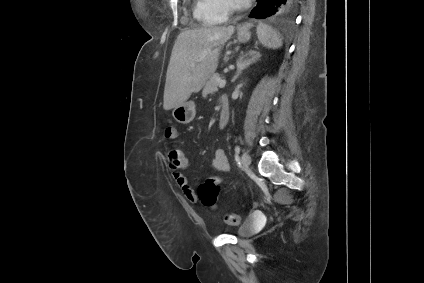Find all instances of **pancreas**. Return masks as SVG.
I'll return each instance as SVG.
<instances>
[{"label": "pancreas", "instance_id": "1", "mask_svg": "<svg viewBox=\"0 0 424 283\" xmlns=\"http://www.w3.org/2000/svg\"><path fill=\"white\" fill-rule=\"evenodd\" d=\"M219 79L220 76L218 74H214L209 78L202 92L204 97H206L208 94H213L214 92L218 91Z\"/></svg>", "mask_w": 424, "mask_h": 283}]
</instances>
